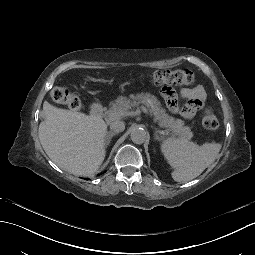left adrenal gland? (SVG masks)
I'll use <instances>...</instances> for the list:
<instances>
[{"mask_svg":"<svg viewBox=\"0 0 255 255\" xmlns=\"http://www.w3.org/2000/svg\"><path fill=\"white\" fill-rule=\"evenodd\" d=\"M159 133H160V130H157V128H156L155 133H154V136H155L156 140H161L162 139L161 137H159Z\"/></svg>","mask_w":255,"mask_h":255,"instance_id":"1","label":"left adrenal gland"}]
</instances>
